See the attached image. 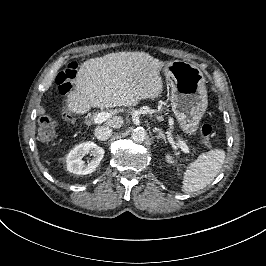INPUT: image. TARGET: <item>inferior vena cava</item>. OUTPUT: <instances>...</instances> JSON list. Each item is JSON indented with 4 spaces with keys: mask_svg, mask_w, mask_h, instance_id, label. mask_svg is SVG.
I'll list each match as a JSON object with an SVG mask.
<instances>
[{
    "mask_svg": "<svg viewBox=\"0 0 266 266\" xmlns=\"http://www.w3.org/2000/svg\"><path fill=\"white\" fill-rule=\"evenodd\" d=\"M111 134H112V130L109 129L108 127H104V126L96 127L94 130V136L99 141L107 140L111 136Z\"/></svg>",
    "mask_w": 266,
    "mask_h": 266,
    "instance_id": "inferior-vena-cava-1",
    "label": "inferior vena cava"
}]
</instances>
